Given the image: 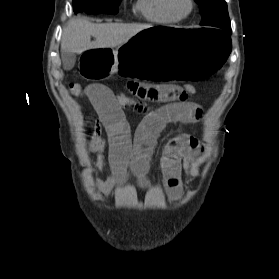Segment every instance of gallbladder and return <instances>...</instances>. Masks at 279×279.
<instances>
[{
	"label": "gallbladder",
	"mask_w": 279,
	"mask_h": 279,
	"mask_svg": "<svg viewBox=\"0 0 279 279\" xmlns=\"http://www.w3.org/2000/svg\"><path fill=\"white\" fill-rule=\"evenodd\" d=\"M62 63L65 70H71L76 62V55L71 52L61 53Z\"/></svg>",
	"instance_id": "bac80fb5"
}]
</instances>
